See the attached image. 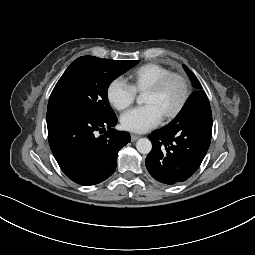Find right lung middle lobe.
Masks as SVG:
<instances>
[{"mask_svg": "<svg viewBox=\"0 0 255 255\" xmlns=\"http://www.w3.org/2000/svg\"><path fill=\"white\" fill-rule=\"evenodd\" d=\"M137 61L82 56L73 61L54 87L48 109L73 108L102 118L114 116L108 102L110 83Z\"/></svg>", "mask_w": 255, "mask_h": 255, "instance_id": "right-lung-middle-lobe-1", "label": "right lung middle lobe"}]
</instances>
